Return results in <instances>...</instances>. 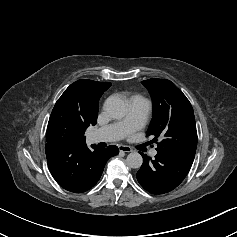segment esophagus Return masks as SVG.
Wrapping results in <instances>:
<instances>
[{
	"mask_svg": "<svg viewBox=\"0 0 237 237\" xmlns=\"http://www.w3.org/2000/svg\"><path fill=\"white\" fill-rule=\"evenodd\" d=\"M118 148L120 152H126V153L132 152V148L129 146L119 145Z\"/></svg>",
	"mask_w": 237,
	"mask_h": 237,
	"instance_id": "obj_1",
	"label": "esophagus"
}]
</instances>
